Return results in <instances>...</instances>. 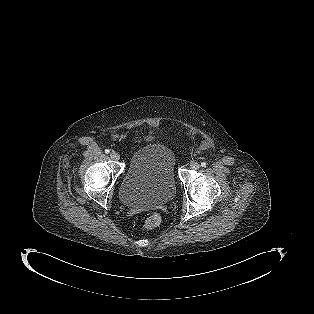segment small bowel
I'll list each match as a JSON object with an SVG mask.
<instances>
[{"label":"small bowel","mask_w":314,"mask_h":314,"mask_svg":"<svg viewBox=\"0 0 314 314\" xmlns=\"http://www.w3.org/2000/svg\"><path fill=\"white\" fill-rule=\"evenodd\" d=\"M146 139H147V140H152V139H154V137H153V136H147ZM138 140H139V139H138ZM138 140H137V141H138Z\"/></svg>","instance_id":"1"}]
</instances>
